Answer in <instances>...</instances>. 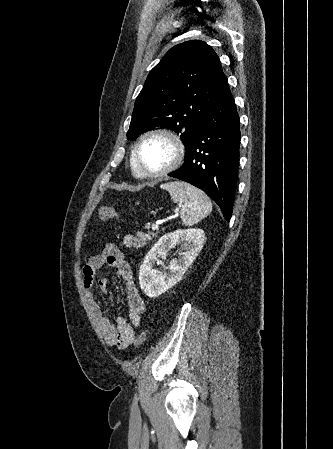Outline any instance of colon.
I'll return each instance as SVG.
<instances>
[{
	"instance_id": "colon-1",
	"label": "colon",
	"mask_w": 333,
	"mask_h": 449,
	"mask_svg": "<svg viewBox=\"0 0 333 449\" xmlns=\"http://www.w3.org/2000/svg\"><path fill=\"white\" fill-rule=\"evenodd\" d=\"M98 218L102 221L114 220L118 218L116 210L111 206H102L98 210ZM153 326V322L149 321L147 328L137 337L135 345L140 347L147 339L149 328Z\"/></svg>"
}]
</instances>
